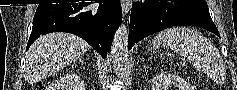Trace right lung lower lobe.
Masks as SVG:
<instances>
[{
  "label": "right lung lower lobe",
  "mask_w": 237,
  "mask_h": 90,
  "mask_svg": "<svg viewBox=\"0 0 237 90\" xmlns=\"http://www.w3.org/2000/svg\"><path fill=\"white\" fill-rule=\"evenodd\" d=\"M121 21L119 0L39 4L26 50L41 35L68 32L87 41L105 58Z\"/></svg>",
  "instance_id": "1"
}]
</instances>
